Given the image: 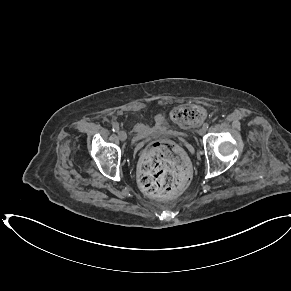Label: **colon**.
<instances>
[{"mask_svg":"<svg viewBox=\"0 0 291 291\" xmlns=\"http://www.w3.org/2000/svg\"><path fill=\"white\" fill-rule=\"evenodd\" d=\"M171 120L186 128L201 123L204 109L197 104L175 107L170 112ZM189 167L183 152L174 144H152L140 162L138 182L145 193L152 197H167L178 193L187 184Z\"/></svg>","mask_w":291,"mask_h":291,"instance_id":"colon-1","label":"colon"}]
</instances>
